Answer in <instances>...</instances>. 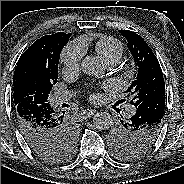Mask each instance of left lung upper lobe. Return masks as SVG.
Segmentation results:
<instances>
[{"mask_svg":"<svg viewBox=\"0 0 184 184\" xmlns=\"http://www.w3.org/2000/svg\"><path fill=\"white\" fill-rule=\"evenodd\" d=\"M128 41L138 68V75L127 92L132 97L131 104L136 108L144 101L156 95L165 96V83L160 64L145 40L138 34L121 30ZM162 121L141 127L120 120L110 131L109 139L114 154L121 159H133L147 152L155 142L154 137L160 132Z\"/></svg>","mask_w":184,"mask_h":184,"instance_id":"obj_1","label":"left lung upper lobe"}]
</instances>
